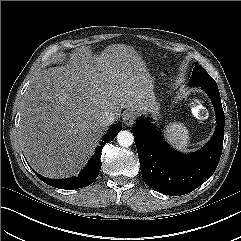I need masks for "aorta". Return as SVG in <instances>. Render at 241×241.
Masks as SVG:
<instances>
[{"label": "aorta", "instance_id": "obj_1", "mask_svg": "<svg viewBox=\"0 0 241 241\" xmlns=\"http://www.w3.org/2000/svg\"><path fill=\"white\" fill-rule=\"evenodd\" d=\"M117 142L120 146L129 147L134 142L133 134L127 130L120 131L117 135Z\"/></svg>", "mask_w": 241, "mask_h": 241}]
</instances>
